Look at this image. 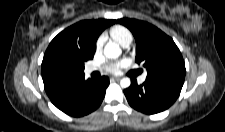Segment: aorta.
<instances>
[{
  "label": "aorta",
  "mask_w": 225,
  "mask_h": 132,
  "mask_svg": "<svg viewBox=\"0 0 225 132\" xmlns=\"http://www.w3.org/2000/svg\"><path fill=\"white\" fill-rule=\"evenodd\" d=\"M122 51L118 44L109 42L104 47V55L107 58H118L121 55ZM131 84V81L129 78H123L120 81V85L122 88H128Z\"/></svg>",
  "instance_id": "762f6f07"
}]
</instances>
